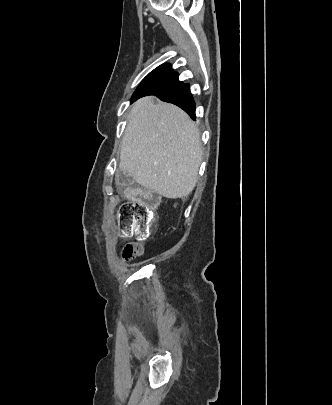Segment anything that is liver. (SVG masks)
I'll list each match as a JSON object with an SVG mask.
<instances>
[{
  "label": "liver",
  "instance_id": "6515ba94",
  "mask_svg": "<svg viewBox=\"0 0 332 405\" xmlns=\"http://www.w3.org/2000/svg\"><path fill=\"white\" fill-rule=\"evenodd\" d=\"M146 96L128 116L120 169L141 186L166 198H183L197 182L202 160L200 134L179 107Z\"/></svg>",
  "mask_w": 332,
  "mask_h": 405
}]
</instances>
